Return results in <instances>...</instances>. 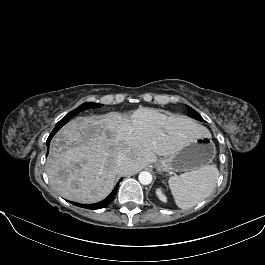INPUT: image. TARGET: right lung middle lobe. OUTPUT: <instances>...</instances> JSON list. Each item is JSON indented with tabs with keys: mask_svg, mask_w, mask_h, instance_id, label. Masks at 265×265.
Instances as JSON below:
<instances>
[{
	"mask_svg": "<svg viewBox=\"0 0 265 265\" xmlns=\"http://www.w3.org/2000/svg\"><path fill=\"white\" fill-rule=\"evenodd\" d=\"M102 104H98V103H84L81 106H79L78 108H76L75 110L71 111L69 114H67L62 120H60L55 127L59 126L62 127L64 124H66L68 122L69 119H71L73 116L77 115L79 112L84 111L86 109H90V108H99L101 107Z\"/></svg>",
	"mask_w": 265,
	"mask_h": 265,
	"instance_id": "1",
	"label": "right lung middle lobe"
}]
</instances>
